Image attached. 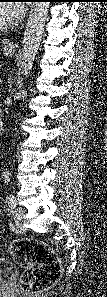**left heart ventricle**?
I'll list each match as a JSON object with an SVG mask.
<instances>
[{
    "mask_svg": "<svg viewBox=\"0 0 107 297\" xmlns=\"http://www.w3.org/2000/svg\"><path fill=\"white\" fill-rule=\"evenodd\" d=\"M0 23H4V24H7L9 23V18H8V15L6 14V11H5V6L4 5H1L0 6Z\"/></svg>",
    "mask_w": 107,
    "mask_h": 297,
    "instance_id": "left-heart-ventricle-1",
    "label": "left heart ventricle"
}]
</instances>
